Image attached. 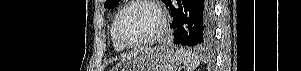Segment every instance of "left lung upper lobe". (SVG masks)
<instances>
[{"label":"left lung upper lobe","instance_id":"obj_1","mask_svg":"<svg viewBox=\"0 0 301 71\" xmlns=\"http://www.w3.org/2000/svg\"><path fill=\"white\" fill-rule=\"evenodd\" d=\"M119 1L120 0H106L104 7L108 9L114 8L119 3ZM162 1L166 3L168 0H162Z\"/></svg>","mask_w":301,"mask_h":71}]
</instances>
